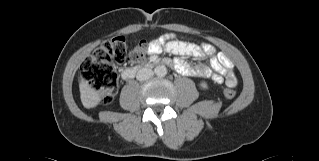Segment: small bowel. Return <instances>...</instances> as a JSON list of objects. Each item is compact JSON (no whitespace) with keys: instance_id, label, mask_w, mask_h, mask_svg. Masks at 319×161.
<instances>
[{"instance_id":"1","label":"small bowel","mask_w":319,"mask_h":161,"mask_svg":"<svg viewBox=\"0 0 319 161\" xmlns=\"http://www.w3.org/2000/svg\"><path fill=\"white\" fill-rule=\"evenodd\" d=\"M162 50L180 57L189 56L197 59H202L205 56L211 57L209 65L203 63L190 65L182 58H176L174 60V67L182 75L211 78L218 84L224 81L222 76L224 75L228 85L233 83L236 85L237 83L232 62L224 54L217 53L214 46L209 43H188L180 40L177 33L168 31L151 40L148 44V51L152 55H157Z\"/></svg>"}]
</instances>
